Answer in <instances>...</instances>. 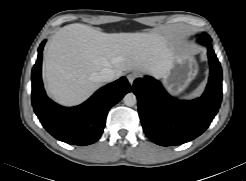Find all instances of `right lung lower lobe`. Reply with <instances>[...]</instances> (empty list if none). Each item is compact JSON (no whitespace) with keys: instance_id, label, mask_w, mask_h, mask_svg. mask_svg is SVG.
I'll use <instances>...</instances> for the list:
<instances>
[{"instance_id":"1","label":"right lung lower lobe","mask_w":246,"mask_h":181,"mask_svg":"<svg viewBox=\"0 0 246 181\" xmlns=\"http://www.w3.org/2000/svg\"><path fill=\"white\" fill-rule=\"evenodd\" d=\"M32 70V105L43 127L56 139L72 145H89L102 135L106 116L112 106L130 92L125 77L100 88L83 104L66 108L50 100L41 79L42 50Z\"/></svg>"}]
</instances>
